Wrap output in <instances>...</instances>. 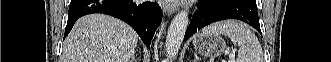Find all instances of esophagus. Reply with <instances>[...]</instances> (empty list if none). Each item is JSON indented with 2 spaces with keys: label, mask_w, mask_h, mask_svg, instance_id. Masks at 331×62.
Here are the masks:
<instances>
[{
  "label": "esophagus",
  "mask_w": 331,
  "mask_h": 62,
  "mask_svg": "<svg viewBox=\"0 0 331 62\" xmlns=\"http://www.w3.org/2000/svg\"><path fill=\"white\" fill-rule=\"evenodd\" d=\"M162 10L170 15V14H173L177 11V8H178V3L177 1H161V4H160Z\"/></svg>",
  "instance_id": "34e87169"
}]
</instances>
